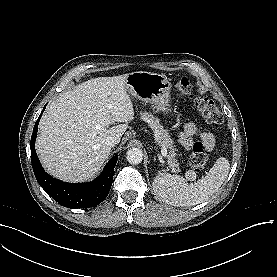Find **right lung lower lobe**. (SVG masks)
<instances>
[{"label":"right lung lower lobe","instance_id":"obj_1","mask_svg":"<svg viewBox=\"0 0 277 277\" xmlns=\"http://www.w3.org/2000/svg\"><path fill=\"white\" fill-rule=\"evenodd\" d=\"M42 113L35 123L30 144L32 167L39 185L48 195L64 207L90 208L100 204L110 191L118 155L113 156L104 168L102 174L92 182L74 184L53 178L44 171L35 151V139Z\"/></svg>","mask_w":277,"mask_h":277}]
</instances>
